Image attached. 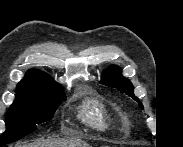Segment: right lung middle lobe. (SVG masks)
Returning <instances> with one entry per match:
<instances>
[{
    "mask_svg": "<svg viewBox=\"0 0 183 147\" xmlns=\"http://www.w3.org/2000/svg\"><path fill=\"white\" fill-rule=\"evenodd\" d=\"M66 96L62 89H17L16 98L6 117V130L0 146L23 138L37 129V124L50 120Z\"/></svg>",
    "mask_w": 183,
    "mask_h": 147,
    "instance_id": "right-lung-middle-lobe-1",
    "label": "right lung middle lobe"
}]
</instances>
